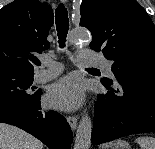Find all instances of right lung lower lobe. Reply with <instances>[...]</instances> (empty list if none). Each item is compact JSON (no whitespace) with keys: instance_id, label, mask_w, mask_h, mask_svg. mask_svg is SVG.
Here are the masks:
<instances>
[{"instance_id":"1","label":"right lung lower lobe","mask_w":155,"mask_h":149,"mask_svg":"<svg viewBox=\"0 0 155 149\" xmlns=\"http://www.w3.org/2000/svg\"><path fill=\"white\" fill-rule=\"evenodd\" d=\"M0 123L25 130L50 149H70L72 143L66 119L55 111H41L40 98L29 104H0Z\"/></svg>"}]
</instances>
